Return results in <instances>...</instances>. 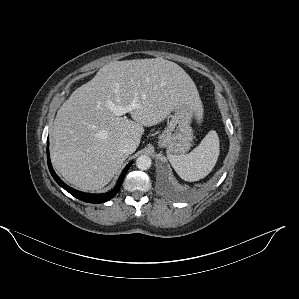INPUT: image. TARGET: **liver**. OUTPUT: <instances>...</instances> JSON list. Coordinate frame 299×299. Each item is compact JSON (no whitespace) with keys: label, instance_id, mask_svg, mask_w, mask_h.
Returning a JSON list of instances; mask_svg holds the SVG:
<instances>
[{"label":"liver","instance_id":"obj_1","mask_svg":"<svg viewBox=\"0 0 299 299\" xmlns=\"http://www.w3.org/2000/svg\"><path fill=\"white\" fill-rule=\"evenodd\" d=\"M133 100L138 104L130 111L133 120L112 110ZM183 104L202 119L196 85L176 63L163 58L110 62L59 108L51 129L52 164L74 187L101 189L129 155L120 150L121 141L132 139L138 147L144 126L162 122Z\"/></svg>","mask_w":299,"mask_h":299}]
</instances>
